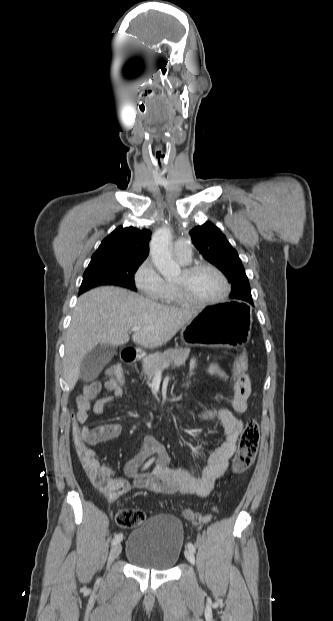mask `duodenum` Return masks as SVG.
<instances>
[{
	"mask_svg": "<svg viewBox=\"0 0 333 621\" xmlns=\"http://www.w3.org/2000/svg\"><path fill=\"white\" fill-rule=\"evenodd\" d=\"M138 352L134 349H125L121 353V360L128 365L135 363L138 359Z\"/></svg>",
	"mask_w": 333,
	"mask_h": 621,
	"instance_id": "obj_1",
	"label": "duodenum"
}]
</instances>
